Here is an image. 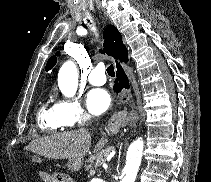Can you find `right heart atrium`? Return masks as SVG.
I'll return each mask as SVG.
<instances>
[{
	"mask_svg": "<svg viewBox=\"0 0 211 182\" xmlns=\"http://www.w3.org/2000/svg\"><path fill=\"white\" fill-rule=\"evenodd\" d=\"M55 106L60 119L66 126L83 124L89 119V115L77 98L61 99Z\"/></svg>",
	"mask_w": 211,
	"mask_h": 182,
	"instance_id": "right-heart-atrium-1",
	"label": "right heart atrium"
}]
</instances>
